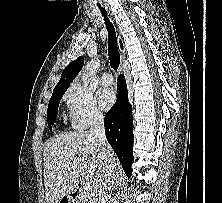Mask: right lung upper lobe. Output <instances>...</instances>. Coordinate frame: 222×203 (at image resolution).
<instances>
[{
	"mask_svg": "<svg viewBox=\"0 0 222 203\" xmlns=\"http://www.w3.org/2000/svg\"><path fill=\"white\" fill-rule=\"evenodd\" d=\"M122 47V43L120 44ZM84 64V58L82 56L78 57L75 61L70 63L62 72L61 79L55 86L53 92L67 90L70 86V83L80 72Z\"/></svg>",
	"mask_w": 222,
	"mask_h": 203,
	"instance_id": "right-lung-upper-lobe-1",
	"label": "right lung upper lobe"
}]
</instances>
